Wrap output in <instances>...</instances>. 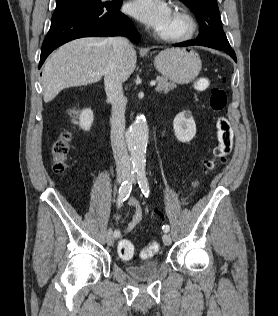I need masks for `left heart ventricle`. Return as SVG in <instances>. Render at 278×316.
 <instances>
[{"label": "left heart ventricle", "instance_id": "left-heart-ventricle-1", "mask_svg": "<svg viewBox=\"0 0 278 316\" xmlns=\"http://www.w3.org/2000/svg\"><path fill=\"white\" fill-rule=\"evenodd\" d=\"M180 28H181L180 20L176 18L171 12L170 16L168 17L164 25L159 30L165 31V32H175V31H178Z\"/></svg>", "mask_w": 278, "mask_h": 316}]
</instances>
